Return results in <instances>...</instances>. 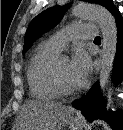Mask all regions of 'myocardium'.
<instances>
[{
    "label": "myocardium",
    "mask_w": 123,
    "mask_h": 130,
    "mask_svg": "<svg viewBox=\"0 0 123 130\" xmlns=\"http://www.w3.org/2000/svg\"><path fill=\"white\" fill-rule=\"evenodd\" d=\"M52 77H53L54 85H55L59 95H61V96H73L82 89V86H78L76 88L67 87L59 77V74H58L57 68H56V64H53V67H52Z\"/></svg>",
    "instance_id": "1"
}]
</instances>
